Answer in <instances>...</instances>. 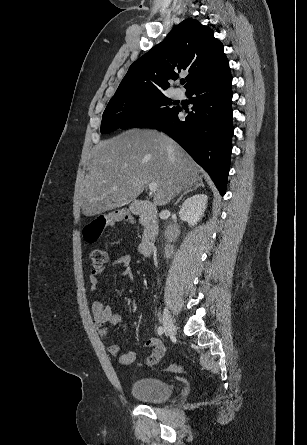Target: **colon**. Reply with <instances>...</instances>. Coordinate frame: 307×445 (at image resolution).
<instances>
[{"mask_svg": "<svg viewBox=\"0 0 307 445\" xmlns=\"http://www.w3.org/2000/svg\"><path fill=\"white\" fill-rule=\"evenodd\" d=\"M121 220H132V217L125 212H113L94 219L84 228L85 240L88 243L96 242L101 237L106 227ZM90 259L93 266L98 269L105 266L108 261V256L105 250L94 248L90 252ZM165 370L171 373H182L183 367L178 364H170L165 367Z\"/></svg>", "mask_w": 307, "mask_h": 445, "instance_id": "colon-1", "label": "colon"}]
</instances>
